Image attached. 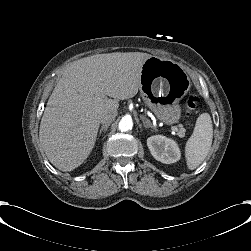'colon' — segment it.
Masks as SVG:
<instances>
[{
	"label": "colon",
	"mask_w": 251,
	"mask_h": 251,
	"mask_svg": "<svg viewBox=\"0 0 251 251\" xmlns=\"http://www.w3.org/2000/svg\"><path fill=\"white\" fill-rule=\"evenodd\" d=\"M198 98L196 96H190L183 103L184 105V116L186 119L190 118L192 112L196 109Z\"/></svg>",
	"instance_id": "colon-1"
}]
</instances>
